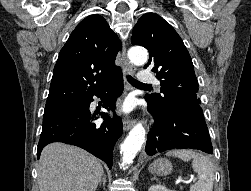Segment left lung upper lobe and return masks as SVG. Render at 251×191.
Here are the masks:
<instances>
[{"label":"left lung upper lobe","instance_id":"left-lung-upper-lobe-1","mask_svg":"<svg viewBox=\"0 0 251 191\" xmlns=\"http://www.w3.org/2000/svg\"><path fill=\"white\" fill-rule=\"evenodd\" d=\"M131 43L148 49L150 58L144 68H151L161 83V95H146L157 110L164 113L173 107L198 103V81L192 59L182 39L162 17L145 13L135 25Z\"/></svg>","mask_w":251,"mask_h":191}]
</instances>
